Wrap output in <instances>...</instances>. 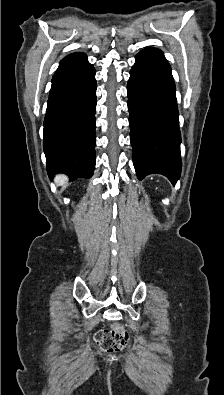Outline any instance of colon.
Returning a JSON list of instances; mask_svg holds the SVG:
<instances>
[{"label": "colon", "instance_id": "1", "mask_svg": "<svg viewBox=\"0 0 224 395\" xmlns=\"http://www.w3.org/2000/svg\"><path fill=\"white\" fill-rule=\"evenodd\" d=\"M95 342L103 352H117L128 343L127 332L119 326L111 329H101L95 334Z\"/></svg>", "mask_w": 224, "mask_h": 395}]
</instances>
